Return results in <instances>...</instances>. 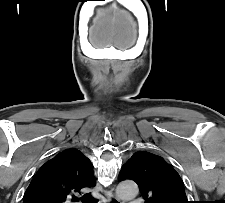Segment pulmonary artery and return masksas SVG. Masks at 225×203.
I'll return each mask as SVG.
<instances>
[{
    "mask_svg": "<svg viewBox=\"0 0 225 203\" xmlns=\"http://www.w3.org/2000/svg\"><path fill=\"white\" fill-rule=\"evenodd\" d=\"M130 203H143V201L138 199V200H132V201H130Z\"/></svg>",
    "mask_w": 225,
    "mask_h": 203,
    "instance_id": "pulmonary-artery-1",
    "label": "pulmonary artery"
}]
</instances>
